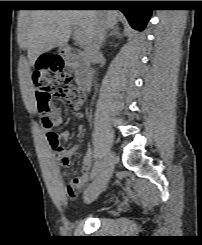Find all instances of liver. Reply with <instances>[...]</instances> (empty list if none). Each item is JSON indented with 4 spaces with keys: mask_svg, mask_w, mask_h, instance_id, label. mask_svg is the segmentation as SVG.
Returning a JSON list of instances; mask_svg holds the SVG:
<instances>
[{
    "mask_svg": "<svg viewBox=\"0 0 202 245\" xmlns=\"http://www.w3.org/2000/svg\"><path fill=\"white\" fill-rule=\"evenodd\" d=\"M118 16L119 13L113 10H34L21 44L27 49L30 65L33 66L40 55L66 45L73 26L82 29L87 45L99 19H104L108 28H114Z\"/></svg>",
    "mask_w": 202,
    "mask_h": 245,
    "instance_id": "6515ba94",
    "label": "liver"
}]
</instances>
